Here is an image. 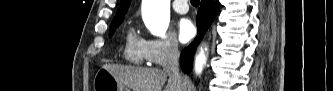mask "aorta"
I'll list each match as a JSON object with an SVG mask.
<instances>
[{
	"mask_svg": "<svg viewBox=\"0 0 333 91\" xmlns=\"http://www.w3.org/2000/svg\"><path fill=\"white\" fill-rule=\"evenodd\" d=\"M142 16L151 34L164 38L170 22V0H143ZM206 60L204 50L201 49L195 60L197 74L202 72Z\"/></svg>",
	"mask_w": 333,
	"mask_h": 91,
	"instance_id": "obj_1",
	"label": "aorta"
}]
</instances>
